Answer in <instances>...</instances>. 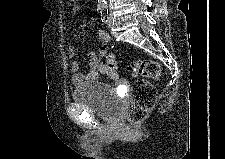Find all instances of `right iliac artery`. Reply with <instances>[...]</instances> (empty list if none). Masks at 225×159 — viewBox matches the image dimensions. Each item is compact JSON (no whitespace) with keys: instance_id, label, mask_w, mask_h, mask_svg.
<instances>
[{"instance_id":"obj_1","label":"right iliac artery","mask_w":225,"mask_h":159,"mask_svg":"<svg viewBox=\"0 0 225 159\" xmlns=\"http://www.w3.org/2000/svg\"><path fill=\"white\" fill-rule=\"evenodd\" d=\"M106 10H107V8L105 6H98V8H97L98 13H100V14H102Z\"/></svg>"}]
</instances>
